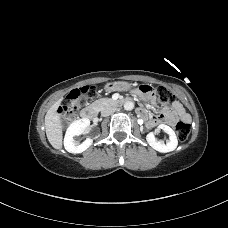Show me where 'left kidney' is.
<instances>
[{
	"label": "left kidney",
	"mask_w": 228,
	"mask_h": 228,
	"mask_svg": "<svg viewBox=\"0 0 228 228\" xmlns=\"http://www.w3.org/2000/svg\"><path fill=\"white\" fill-rule=\"evenodd\" d=\"M158 130L162 129L169 135V141L165 144L163 141H158L154 132H150L146 136L148 144L158 152L167 153L175 150L178 145V140L175 132L167 125L161 124L157 127Z\"/></svg>",
	"instance_id": "obj_1"
}]
</instances>
